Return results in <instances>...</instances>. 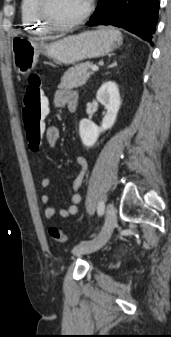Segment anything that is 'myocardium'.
I'll list each match as a JSON object with an SVG mask.
<instances>
[{
	"instance_id": "1",
	"label": "myocardium",
	"mask_w": 171,
	"mask_h": 337,
	"mask_svg": "<svg viewBox=\"0 0 171 337\" xmlns=\"http://www.w3.org/2000/svg\"><path fill=\"white\" fill-rule=\"evenodd\" d=\"M49 5L50 0H38V14L40 19L47 26L56 30L68 29L81 24L89 17L92 11V5L90 2H88L84 12L77 18L70 21H58L52 16Z\"/></svg>"
}]
</instances>
